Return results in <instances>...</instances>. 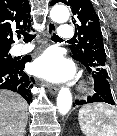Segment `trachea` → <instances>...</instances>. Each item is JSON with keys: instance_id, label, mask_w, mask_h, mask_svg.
<instances>
[{"instance_id": "obj_1", "label": "trachea", "mask_w": 117, "mask_h": 136, "mask_svg": "<svg viewBox=\"0 0 117 136\" xmlns=\"http://www.w3.org/2000/svg\"><path fill=\"white\" fill-rule=\"evenodd\" d=\"M23 36H24V40L25 41H31L35 38V35L33 34H29L28 32L26 31H22L20 32ZM52 40H62L58 35H56L55 33H53L52 37H51Z\"/></svg>"}]
</instances>
